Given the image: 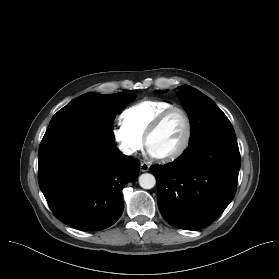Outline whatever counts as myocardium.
Wrapping results in <instances>:
<instances>
[{
    "mask_svg": "<svg viewBox=\"0 0 279 279\" xmlns=\"http://www.w3.org/2000/svg\"><path fill=\"white\" fill-rule=\"evenodd\" d=\"M173 112H179L184 117V120L186 123V132H185V136H184L182 143L175 150H173L169 153L163 154V155H155V154L153 155L155 158L162 160V161H171V160H174V159L178 158L179 156H181L188 148V146L191 142V139H192L193 124H192V120H191L189 113L182 107L172 106V107H169V108L163 110L161 113H159L156 116V118L153 120V122L150 124V126L148 127V129L145 133V136H144V142H145V146H146L148 152L150 151V149H149L150 138L160 128V126L162 125L164 120Z\"/></svg>",
    "mask_w": 279,
    "mask_h": 279,
    "instance_id": "obj_1",
    "label": "myocardium"
}]
</instances>
